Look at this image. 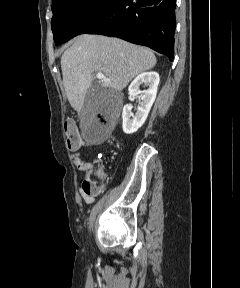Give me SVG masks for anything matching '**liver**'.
I'll list each match as a JSON object with an SVG mask.
<instances>
[{
	"label": "liver",
	"mask_w": 240,
	"mask_h": 288,
	"mask_svg": "<svg viewBox=\"0 0 240 288\" xmlns=\"http://www.w3.org/2000/svg\"><path fill=\"white\" fill-rule=\"evenodd\" d=\"M156 63L154 53L147 48L102 35H80L61 57L68 101L81 113L95 73H103L109 79L102 81V87L122 91L133 78Z\"/></svg>",
	"instance_id": "obj_1"
}]
</instances>
